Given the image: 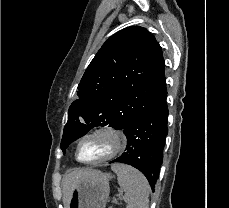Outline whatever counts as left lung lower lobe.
I'll return each instance as SVG.
<instances>
[{
	"label": "left lung lower lobe",
	"instance_id": "left-lung-lower-lobe-1",
	"mask_svg": "<svg viewBox=\"0 0 229 208\" xmlns=\"http://www.w3.org/2000/svg\"><path fill=\"white\" fill-rule=\"evenodd\" d=\"M167 91L124 129L127 151L111 161L131 165L141 171L154 190L163 159L168 134Z\"/></svg>",
	"mask_w": 229,
	"mask_h": 208
}]
</instances>
